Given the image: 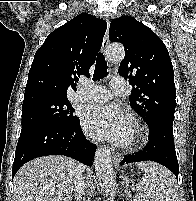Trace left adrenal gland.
Instances as JSON below:
<instances>
[{
  "label": "left adrenal gland",
  "instance_id": "obj_1",
  "mask_svg": "<svg viewBox=\"0 0 196 201\" xmlns=\"http://www.w3.org/2000/svg\"><path fill=\"white\" fill-rule=\"evenodd\" d=\"M129 182H130V179L128 178V177H126L125 179H124V181L122 182V185H123V187L125 188V191H124V193L127 195V196H129Z\"/></svg>",
  "mask_w": 196,
  "mask_h": 201
}]
</instances>
